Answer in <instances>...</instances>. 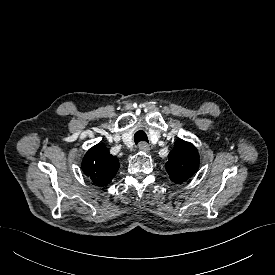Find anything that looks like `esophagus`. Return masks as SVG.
Here are the masks:
<instances>
[{"instance_id": "1", "label": "esophagus", "mask_w": 275, "mask_h": 275, "mask_svg": "<svg viewBox=\"0 0 275 275\" xmlns=\"http://www.w3.org/2000/svg\"><path fill=\"white\" fill-rule=\"evenodd\" d=\"M139 150L142 152H149L150 146L146 142H141L138 146Z\"/></svg>"}]
</instances>
